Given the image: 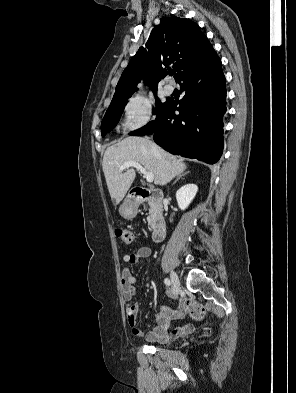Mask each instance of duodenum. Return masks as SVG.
Returning <instances> with one entry per match:
<instances>
[{
    "mask_svg": "<svg viewBox=\"0 0 296 393\" xmlns=\"http://www.w3.org/2000/svg\"><path fill=\"white\" fill-rule=\"evenodd\" d=\"M163 193L158 189L136 187L130 195V202L134 205L142 201H150L153 206L152 239L162 242L167 234V226L163 212Z\"/></svg>",
    "mask_w": 296,
    "mask_h": 393,
    "instance_id": "1",
    "label": "duodenum"
}]
</instances>
